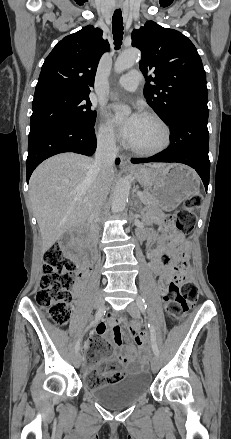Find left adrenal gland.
<instances>
[{"instance_id": "obj_1", "label": "left adrenal gland", "mask_w": 231, "mask_h": 439, "mask_svg": "<svg viewBox=\"0 0 231 439\" xmlns=\"http://www.w3.org/2000/svg\"><path fill=\"white\" fill-rule=\"evenodd\" d=\"M138 204H139V206H138ZM136 207H138V208L136 209ZM141 207H142V205L139 203V200H138L137 196H135V200H134V210H135V211H138Z\"/></svg>"}]
</instances>
